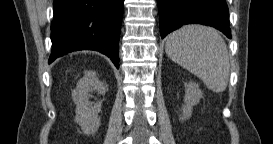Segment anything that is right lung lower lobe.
I'll list each match as a JSON object with an SVG mask.
<instances>
[{"mask_svg": "<svg viewBox=\"0 0 273 144\" xmlns=\"http://www.w3.org/2000/svg\"><path fill=\"white\" fill-rule=\"evenodd\" d=\"M124 0H54L49 63L77 50H96L119 68Z\"/></svg>", "mask_w": 273, "mask_h": 144, "instance_id": "98d812e1", "label": "right lung lower lobe"}]
</instances>
